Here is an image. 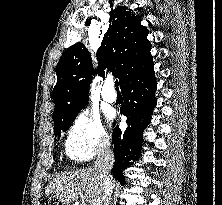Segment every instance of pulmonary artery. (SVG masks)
<instances>
[{"instance_id": "pulmonary-artery-1", "label": "pulmonary artery", "mask_w": 222, "mask_h": 205, "mask_svg": "<svg viewBox=\"0 0 222 205\" xmlns=\"http://www.w3.org/2000/svg\"><path fill=\"white\" fill-rule=\"evenodd\" d=\"M102 98L109 103H113L116 100V93L113 89V84L111 81L105 83L102 89Z\"/></svg>"}]
</instances>
